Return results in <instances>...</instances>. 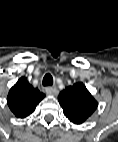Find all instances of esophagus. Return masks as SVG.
Instances as JSON below:
<instances>
[{"label":"esophagus","mask_w":118,"mask_h":142,"mask_svg":"<svg viewBox=\"0 0 118 142\" xmlns=\"http://www.w3.org/2000/svg\"><path fill=\"white\" fill-rule=\"evenodd\" d=\"M45 91L47 94L49 95H57L58 94V90L56 87L54 86H48L45 88Z\"/></svg>","instance_id":"obj_1"}]
</instances>
